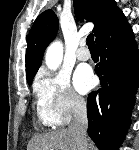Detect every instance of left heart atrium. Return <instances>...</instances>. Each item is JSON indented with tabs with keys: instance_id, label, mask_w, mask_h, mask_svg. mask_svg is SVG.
Segmentation results:
<instances>
[{
	"instance_id": "left-heart-atrium-1",
	"label": "left heart atrium",
	"mask_w": 139,
	"mask_h": 150,
	"mask_svg": "<svg viewBox=\"0 0 139 150\" xmlns=\"http://www.w3.org/2000/svg\"><path fill=\"white\" fill-rule=\"evenodd\" d=\"M95 83V78L90 70L80 68L74 76V85L80 93H87Z\"/></svg>"
}]
</instances>
